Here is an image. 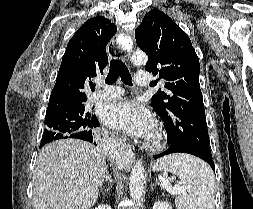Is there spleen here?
<instances>
[{
  "instance_id": "3e777b00",
  "label": "spleen",
  "mask_w": 253,
  "mask_h": 209,
  "mask_svg": "<svg viewBox=\"0 0 253 209\" xmlns=\"http://www.w3.org/2000/svg\"><path fill=\"white\" fill-rule=\"evenodd\" d=\"M153 170L171 172L184 182L187 193L176 198L177 209H214V175L204 161L188 154H172L157 160Z\"/></svg>"
}]
</instances>
